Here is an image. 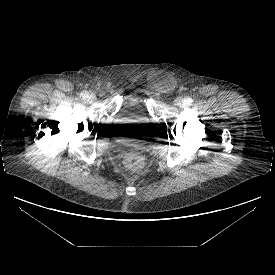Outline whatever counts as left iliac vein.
Wrapping results in <instances>:
<instances>
[{
    "label": "left iliac vein",
    "instance_id": "obj_1",
    "mask_svg": "<svg viewBox=\"0 0 275 275\" xmlns=\"http://www.w3.org/2000/svg\"><path fill=\"white\" fill-rule=\"evenodd\" d=\"M174 102H175V105L181 106L184 104V99L182 97H177Z\"/></svg>",
    "mask_w": 275,
    "mask_h": 275
}]
</instances>
